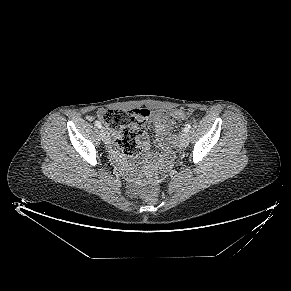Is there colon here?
Here are the masks:
<instances>
[{
	"label": "colon",
	"mask_w": 291,
	"mask_h": 291,
	"mask_svg": "<svg viewBox=\"0 0 291 291\" xmlns=\"http://www.w3.org/2000/svg\"><path fill=\"white\" fill-rule=\"evenodd\" d=\"M149 111L146 109H132L123 111L118 109H108L102 114V121L113 135L115 143L121 149L124 155L128 157H137L141 152L138 143V133L145 127L149 117ZM188 113L182 109H176L170 113V116L176 120H183ZM145 199L150 203L158 200V192L155 187H149L144 192Z\"/></svg>",
	"instance_id": "1"
}]
</instances>
